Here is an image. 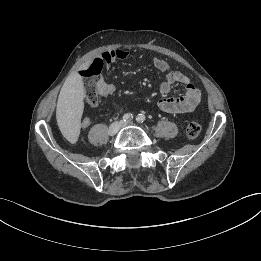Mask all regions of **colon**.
<instances>
[{"label": "colon", "mask_w": 261, "mask_h": 261, "mask_svg": "<svg viewBox=\"0 0 261 261\" xmlns=\"http://www.w3.org/2000/svg\"><path fill=\"white\" fill-rule=\"evenodd\" d=\"M104 63L96 59L83 71L85 77V101L89 107H95L101 96V71ZM201 132V125L198 122H191L186 127V134L189 138H196Z\"/></svg>", "instance_id": "5ec220e1"}]
</instances>
